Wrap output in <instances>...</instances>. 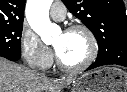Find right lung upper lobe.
Instances as JSON below:
<instances>
[{
	"mask_svg": "<svg viewBox=\"0 0 127 92\" xmlns=\"http://www.w3.org/2000/svg\"><path fill=\"white\" fill-rule=\"evenodd\" d=\"M25 0H0V25L22 24Z\"/></svg>",
	"mask_w": 127,
	"mask_h": 92,
	"instance_id": "1",
	"label": "right lung upper lobe"
}]
</instances>
